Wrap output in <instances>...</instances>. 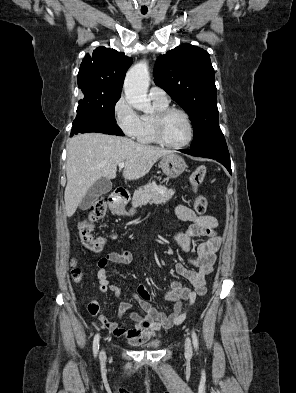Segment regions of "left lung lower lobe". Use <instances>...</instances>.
Instances as JSON below:
<instances>
[{
    "label": "left lung lower lobe",
    "instance_id": "obj_1",
    "mask_svg": "<svg viewBox=\"0 0 296 393\" xmlns=\"http://www.w3.org/2000/svg\"><path fill=\"white\" fill-rule=\"evenodd\" d=\"M183 153L197 156V157H205V158H211L215 159L218 162H220L222 165H224L227 170L229 171L230 174H232L231 171V163H230V156L229 152L227 149V144L226 143H219L203 148H198V149H183L181 150Z\"/></svg>",
    "mask_w": 296,
    "mask_h": 393
}]
</instances>
